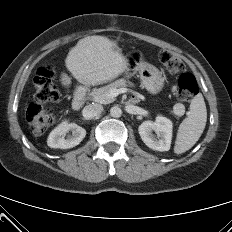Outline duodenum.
<instances>
[{
	"label": "duodenum",
	"instance_id": "410a0bca",
	"mask_svg": "<svg viewBox=\"0 0 232 232\" xmlns=\"http://www.w3.org/2000/svg\"><path fill=\"white\" fill-rule=\"evenodd\" d=\"M85 96H86V90L84 88H78L73 101V108L75 110H79L82 107L85 100ZM131 101L136 102L137 100L131 99Z\"/></svg>",
	"mask_w": 232,
	"mask_h": 232
}]
</instances>
